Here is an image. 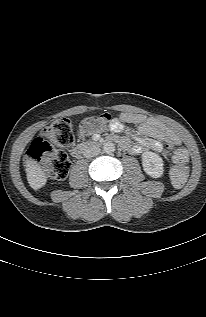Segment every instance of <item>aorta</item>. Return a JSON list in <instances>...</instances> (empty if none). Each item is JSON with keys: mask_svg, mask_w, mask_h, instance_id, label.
<instances>
[{"mask_svg": "<svg viewBox=\"0 0 206 317\" xmlns=\"http://www.w3.org/2000/svg\"><path fill=\"white\" fill-rule=\"evenodd\" d=\"M115 150V145L114 143L112 142H106L104 145H103V151L104 153L106 154H111L113 153Z\"/></svg>", "mask_w": 206, "mask_h": 317, "instance_id": "1", "label": "aorta"}]
</instances>
